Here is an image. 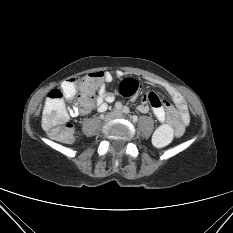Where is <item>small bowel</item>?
Masks as SVG:
<instances>
[{
    "label": "small bowel",
    "mask_w": 233,
    "mask_h": 233,
    "mask_svg": "<svg viewBox=\"0 0 233 233\" xmlns=\"http://www.w3.org/2000/svg\"><path fill=\"white\" fill-rule=\"evenodd\" d=\"M122 75L123 73L121 71L103 73L97 95L92 98L83 94L81 86L77 99L78 106L73 108L72 115H87L94 108L100 112L105 111L108 104L115 99L114 95L108 92V85L112 82L114 77H121ZM162 86L172 98L174 105L166 100H161L155 92L151 91L144 96L141 103L138 105V110L142 113H147L151 109L161 123L168 121L173 126L175 135L181 136L189 121L186 101L176 88L168 84H163ZM73 92L74 88L71 90V93ZM133 99H135V97H133Z\"/></svg>",
    "instance_id": "small-bowel-1"
}]
</instances>
